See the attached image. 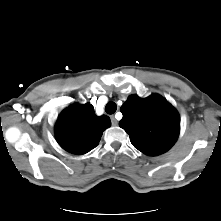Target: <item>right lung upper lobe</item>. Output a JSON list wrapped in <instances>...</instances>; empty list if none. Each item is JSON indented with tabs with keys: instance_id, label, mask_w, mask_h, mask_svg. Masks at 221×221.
Returning <instances> with one entry per match:
<instances>
[{
	"instance_id": "cb5924a9",
	"label": "right lung upper lobe",
	"mask_w": 221,
	"mask_h": 221,
	"mask_svg": "<svg viewBox=\"0 0 221 221\" xmlns=\"http://www.w3.org/2000/svg\"><path fill=\"white\" fill-rule=\"evenodd\" d=\"M110 125L109 117L97 116L90 103L73 104L59 115L55 136L63 149L81 155L98 145L103 131Z\"/></svg>"
}]
</instances>
